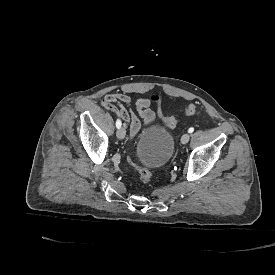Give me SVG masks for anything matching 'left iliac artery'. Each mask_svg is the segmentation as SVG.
Returning a JSON list of instances; mask_svg holds the SVG:
<instances>
[{
  "instance_id": "44dca946",
  "label": "left iliac artery",
  "mask_w": 275,
  "mask_h": 275,
  "mask_svg": "<svg viewBox=\"0 0 275 275\" xmlns=\"http://www.w3.org/2000/svg\"><path fill=\"white\" fill-rule=\"evenodd\" d=\"M193 131H194V128H193V127H191V128L188 129V132H189V133H192Z\"/></svg>"
}]
</instances>
